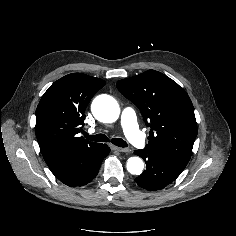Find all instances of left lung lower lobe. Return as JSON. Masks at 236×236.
Wrapping results in <instances>:
<instances>
[{
  "mask_svg": "<svg viewBox=\"0 0 236 236\" xmlns=\"http://www.w3.org/2000/svg\"><path fill=\"white\" fill-rule=\"evenodd\" d=\"M135 154L142 157L146 162V170H144L135 181L140 187L148 191H156L165 188L172 183L184 169L161 156L158 152L147 148L137 150Z\"/></svg>",
  "mask_w": 236,
  "mask_h": 236,
  "instance_id": "obj_1",
  "label": "left lung lower lobe"
}]
</instances>
